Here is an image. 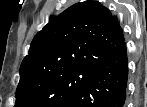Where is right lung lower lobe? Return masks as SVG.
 Instances as JSON below:
<instances>
[{"mask_svg":"<svg viewBox=\"0 0 147 107\" xmlns=\"http://www.w3.org/2000/svg\"><path fill=\"white\" fill-rule=\"evenodd\" d=\"M128 79L125 43L100 65L88 82L59 107H124Z\"/></svg>","mask_w":147,"mask_h":107,"instance_id":"98d812e1","label":"right lung lower lobe"}]
</instances>
